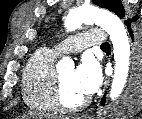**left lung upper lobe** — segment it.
<instances>
[{"label": "left lung upper lobe", "mask_w": 142, "mask_h": 119, "mask_svg": "<svg viewBox=\"0 0 142 119\" xmlns=\"http://www.w3.org/2000/svg\"><path fill=\"white\" fill-rule=\"evenodd\" d=\"M93 3L102 7L106 8L115 14H117L120 18L124 17V8L120 0H93ZM128 21V20H126ZM125 21V22H126Z\"/></svg>", "instance_id": "5c2ea615"}]
</instances>
